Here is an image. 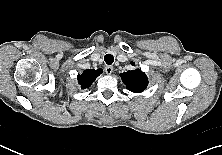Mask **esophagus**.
<instances>
[{
  "mask_svg": "<svg viewBox=\"0 0 222 155\" xmlns=\"http://www.w3.org/2000/svg\"><path fill=\"white\" fill-rule=\"evenodd\" d=\"M105 72H106V74L110 75L113 72V66L107 65L105 67Z\"/></svg>",
  "mask_w": 222,
  "mask_h": 155,
  "instance_id": "obj_1",
  "label": "esophagus"
}]
</instances>
